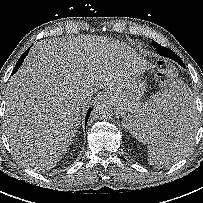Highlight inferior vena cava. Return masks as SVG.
Returning a JSON list of instances; mask_svg holds the SVG:
<instances>
[{
    "label": "inferior vena cava",
    "mask_w": 203,
    "mask_h": 203,
    "mask_svg": "<svg viewBox=\"0 0 203 203\" xmlns=\"http://www.w3.org/2000/svg\"><path fill=\"white\" fill-rule=\"evenodd\" d=\"M79 102H80V103H84V101H83V100H80Z\"/></svg>",
    "instance_id": "inferior-vena-cava-1"
}]
</instances>
